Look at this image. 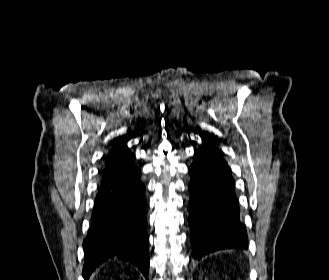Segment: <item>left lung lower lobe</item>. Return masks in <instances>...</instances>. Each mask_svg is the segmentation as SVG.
<instances>
[{"mask_svg": "<svg viewBox=\"0 0 329 280\" xmlns=\"http://www.w3.org/2000/svg\"><path fill=\"white\" fill-rule=\"evenodd\" d=\"M188 203L192 256L221 249H247V234L230 168L213 145L199 148L189 168Z\"/></svg>", "mask_w": 329, "mask_h": 280, "instance_id": "0a47b994", "label": "left lung lower lobe"}]
</instances>
